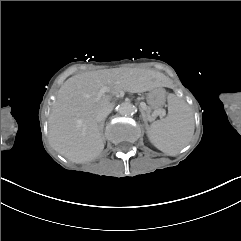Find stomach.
<instances>
[{
    "label": "stomach",
    "mask_w": 241,
    "mask_h": 241,
    "mask_svg": "<svg viewBox=\"0 0 241 241\" xmlns=\"http://www.w3.org/2000/svg\"><path fill=\"white\" fill-rule=\"evenodd\" d=\"M166 95L161 88L155 89L148 93L147 102L152 109H160L165 105Z\"/></svg>",
    "instance_id": "obj_1"
}]
</instances>
